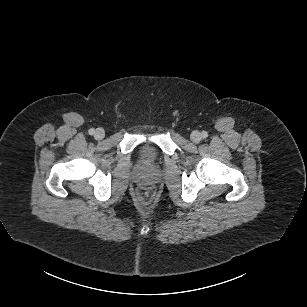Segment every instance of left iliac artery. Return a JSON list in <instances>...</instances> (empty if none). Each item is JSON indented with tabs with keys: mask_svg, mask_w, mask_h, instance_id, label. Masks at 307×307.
Listing matches in <instances>:
<instances>
[{
	"mask_svg": "<svg viewBox=\"0 0 307 307\" xmlns=\"http://www.w3.org/2000/svg\"><path fill=\"white\" fill-rule=\"evenodd\" d=\"M201 135L203 138H206L208 136V133L206 131H202Z\"/></svg>",
	"mask_w": 307,
	"mask_h": 307,
	"instance_id": "44dca946",
	"label": "left iliac artery"
}]
</instances>
